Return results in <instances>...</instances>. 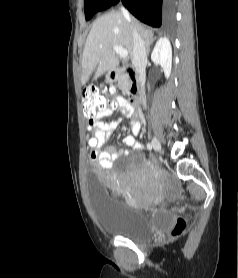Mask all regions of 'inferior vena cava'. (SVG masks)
I'll return each mask as SVG.
<instances>
[{
    "mask_svg": "<svg viewBox=\"0 0 238 278\" xmlns=\"http://www.w3.org/2000/svg\"><path fill=\"white\" fill-rule=\"evenodd\" d=\"M121 10L124 17L130 22L132 27V38H133L132 64L136 69L139 82L144 94V84L146 78L145 69L147 64V53H146L145 43L141 38L140 34L138 33L137 29L133 26L129 12L124 8H122ZM142 100H143V105L146 107V98L143 97Z\"/></svg>",
    "mask_w": 238,
    "mask_h": 278,
    "instance_id": "602c4592",
    "label": "inferior vena cava"
}]
</instances>
